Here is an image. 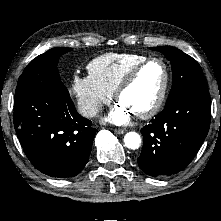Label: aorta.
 I'll return each mask as SVG.
<instances>
[{
  "mask_svg": "<svg viewBox=\"0 0 221 221\" xmlns=\"http://www.w3.org/2000/svg\"><path fill=\"white\" fill-rule=\"evenodd\" d=\"M124 143L125 146L129 149L135 150L140 147L141 144V137L136 132H128L124 136Z\"/></svg>",
  "mask_w": 221,
  "mask_h": 221,
  "instance_id": "obj_1",
  "label": "aorta"
}]
</instances>
